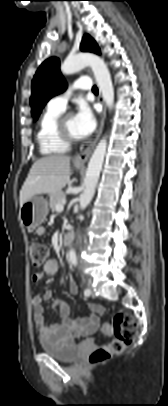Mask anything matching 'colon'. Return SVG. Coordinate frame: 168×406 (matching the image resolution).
Here are the masks:
<instances>
[{
	"mask_svg": "<svg viewBox=\"0 0 168 406\" xmlns=\"http://www.w3.org/2000/svg\"><path fill=\"white\" fill-rule=\"evenodd\" d=\"M29 258L33 266H42L49 255L48 248L40 243H32L29 246ZM105 335L112 331L114 339L110 344L95 348L89 356L91 364L104 362L114 355L122 353L136 338L138 324L134 317L125 312H118L112 321L106 322L102 326Z\"/></svg>",
	"mask_w": 168,
	"mask_h": 406,
	"instance_id": "5ec220e1",
	"label": "colon"
}]
</instances>
